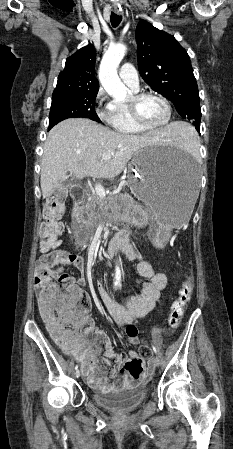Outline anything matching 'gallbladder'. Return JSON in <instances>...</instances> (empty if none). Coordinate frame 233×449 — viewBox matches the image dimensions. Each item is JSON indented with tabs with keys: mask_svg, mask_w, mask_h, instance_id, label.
<instances>
[{
	"mask_svg": "<svg viewBox=\"0 0 233 449\" xmlns=\"http://www.w3.org/2000/svg\"><path fill=\"white\" fill-rule=\"evenodd\" d=\"M56 194L60 197H64L66 195L65 191H57Z\"/></svg>",
	"mask_w": 233,
	"mask_h": 449,
	"instance_id": "obj_1",
	"label": "gallbladder"
}]
</instances>
